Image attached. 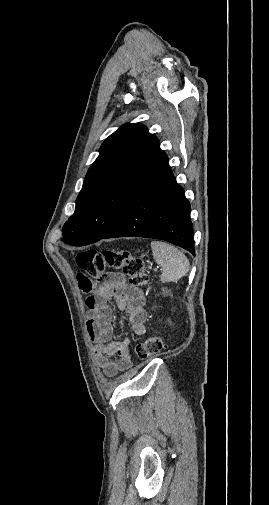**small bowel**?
Returning <instances> with one entry per match:
<instances>
[{
	"instance_id": "obj_1",
	"label": "small bowel",
	"mask_w": 269,
	"mask_h": 505,
	"mask_svg": "<svg viewBox=\"0 0 269 505\" xmlns=\"http://www.w3.org/2000/svg\"><path fill=\"white\" fill-rule=\"evenodd\" d=\"M78 274L77 288L84 295H90L86 300V329L94 343L96 362L106 376L113 377L119 372L129 370L132 359L128 339L112 340L114 329L109 301L111 298L116 299L118 308L126 313L133 332L142 336L146 333L144 294L142 290L129 286L124 275L119 272L103 273L101 281H91L85 270L79 271ZM114 356H117V359H113Z\"/></svg>"
}]
</instances>
